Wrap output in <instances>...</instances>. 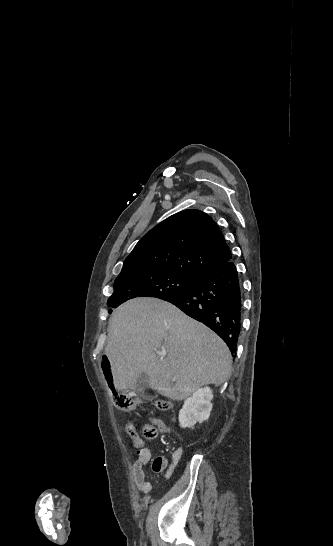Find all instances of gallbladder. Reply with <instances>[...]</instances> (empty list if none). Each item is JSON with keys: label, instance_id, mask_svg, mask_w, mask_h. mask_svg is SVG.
<instances>
[{"label": "gallbladder", "instance_id": "1", "mask_svg": "<svg viewBox=\"0 0 333 546\" xmlns=\"http://www.w3.org/2000/svg\"><path fill=\"white\" fill-rule=\"evenodd\" d=\"M149 377L146 373L140 374V376L137 379V383L134 387L135 392L143 398L151 399L152 396L147 394V391L149 390Z\"/></svg>", "mask_w": 333, "mask_h": 546}]
</instances>
